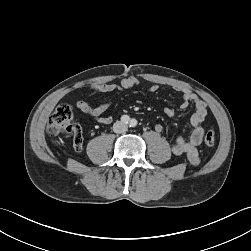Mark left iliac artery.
I'll list each match as a JSON object with an SVG mask.
<instances>
[{
    "instance_id": "left-iliac-artery-1",
    "label": "left iliac artery",
    "mask_w": 251,
    "mask_h": 251,
    "mask_svg": "<svg viewBox=\"0 0 251 251\" xmlns=\"http://www.w3.org/2000/svg\"><path fill=\"white\" fill-rule=\"evenodd\" d=\"M136 125H137V120L136 119H131L130 127H135Z\"/></svg>"
}]
</instances>
